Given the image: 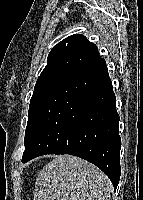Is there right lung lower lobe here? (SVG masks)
Here are the masks:
<instances>
[{"label":"right lung lower lobe","instance_id":"98d812e1","mask_svg":"<svg viewBox=\"0 0 143 200\" xmlns=\"http://www.w3.org/2000/svg\"><path fill=\"white\" fill-rule=\"evenodd\" d=\"M22 162L71 154L98 166L114 190L120 180L119 115L106 62L67 76L37 109L24 139Z\"/></svg>","mask_w":143,"mask_h":200}]
</instances>
